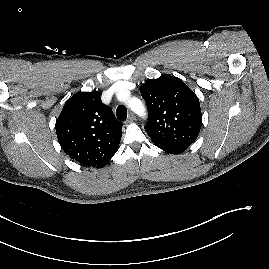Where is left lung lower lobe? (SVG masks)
I'll return each instance as SVG.
<instances>
[{"instance_id":"left-lung-lower-lobe-1","label":"left lung lower lobe","mask_w":269,"mask_h":269,"mask_svg":"<svg viewBox=\"0 0 269 269\" xmlns=\"http://www.w3.org/2000/svg\"><path fill=\"white\" fill-rule=\"evenodd\" d=\"M154 144L160 149L171 154H180L189 147V145L186 144H159V143Z\"/></svg>"}]
</instances>
